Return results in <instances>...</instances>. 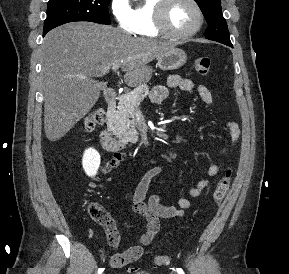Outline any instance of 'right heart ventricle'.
Returning <instances> with one entry per match:
<instances>
[{
	"instance_id": "right-heart-ventricle-1",
	"label": "right heart ventricle",
	"mask_w": 289,
	"mask_h": 274,
	"mask_svg": "<svg viewBox=\"0 0 289 274\" xmlns=\"http://www.w3.org/2000/svg\"><path fill=\"white\" fill-rule=\"evenodd\" d=\"M158 2L159 0H143L133 9V34L142 37L162 35L154 22V12Z\"/></svg>"
}]
</instances>
